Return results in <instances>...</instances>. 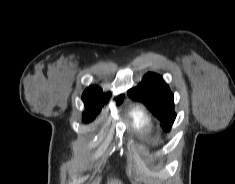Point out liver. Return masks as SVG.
I'll use <instances>...</instances> for the list:
<instances>
[{"instance_id":"1","label":"liver","mask_w":235,"mask_h":184,"mask_svg":"<svg viewBox=\"0 0 235 184\" xmlns=\"http://www.w3.org/2000/svg\"><path fill=\"white\" fill-rule=\"evenodd\" d=\"M112 184H118V182H112Z\"/></svg>"}]
</instances>
